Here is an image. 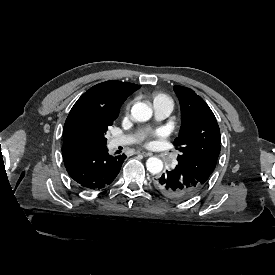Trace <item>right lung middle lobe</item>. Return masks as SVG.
Listing matches in <instances>:
<instances>
[{
    "mask_svg": "<svg viewBox=\"0 0 275 275\" xmlns=\"http://www.w3.org/2000/svg\"><path fill=\"white\" fill-rule=\"evenodd\" d=\"M117 115H88L77 120L67 131L66 144L85 143L106 146V133Z\"/></svg>",
    "mask_w": 275,
    "mask_h": 275,
    "instance_id": "dd1d6c3e",
    "label": "right lung middle lobe"
}]
</instances>
